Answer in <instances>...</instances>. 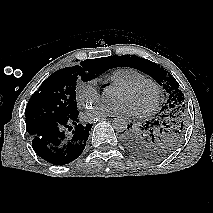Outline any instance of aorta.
<instances>
[{
    "instance_id": "obj_1",
    "label": "aorta",
    "mask_w": 213,
    "mask_h": 213,
    "mask_svg": "<svg viewBox=\"0 0 213 213\" xmlns=\"http://www.w3.org/2000/svg\"><path fill=\"white\" fill-rule=\"evenodd\" d=\"M112 95L111 88H106L103 92V98L110 99ZM127 120L124 118H115L112 122V127L116 132H122L127 130Z\"/></svg>"
}]
</instances>
